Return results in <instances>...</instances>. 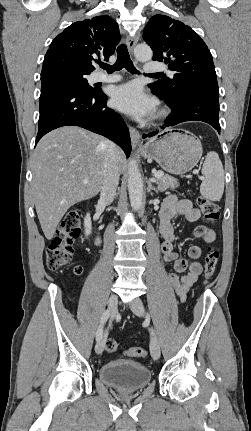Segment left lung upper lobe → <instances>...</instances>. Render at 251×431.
<instances>
[{
    "instance_id": "1",
    "label": "left lung upper lobe",
    "mask_w": 251,
    "mask_h": 431,
    "mask_svg": "<svg viewBox=\"0 0 251 431\" xmlns=\"http://www.w3.org/2000/svg\"><path fill=\"white\" fill-rule=\"evenodd\" d=\"M144 41L153 50V60L164 61L173 78H163L149 87L165 102L176 104L189 90H218L213 59L200 36L184 23L165 15H155L147 23Z\"/></svg>"
}]
</instances>
